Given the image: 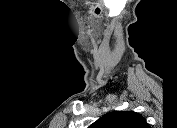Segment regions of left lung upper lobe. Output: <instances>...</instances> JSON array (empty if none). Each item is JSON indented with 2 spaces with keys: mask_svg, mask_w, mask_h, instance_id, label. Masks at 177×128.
Listing matches in <instances>:
<instances>
[{
  "mask_svg": "<svg viewBox=\"0 0 177 128\" xmlns=\"http://www.w3.org/2000/svg\"><path fill=\"white\" fill-rule=\"evenodd\" d=\"M95 128H147L146 120L134 111L109 112L93 123Z\"/></svg>",
  "mask_w": 177,
  "mask_h": 128,
  "instance_id": "left-lung-upper-lobe-1",
  "label": "left lung upper lobe"
}]
</instances>
